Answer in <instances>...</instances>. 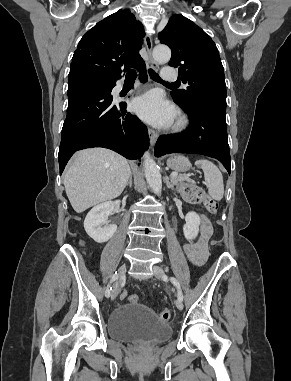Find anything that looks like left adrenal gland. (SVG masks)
I'll return each mask as SVG.
<instances>
[{
	"instance_id": "obj_1",
	"label": "left adrenal gland",
	"mask_w": 291,
	"mask_h": 381,
	"mask_svg": "<svg viewBox=\"0 0 291 381\" xmlns=\"http://www.w3.org/2000/svg\"><path fill=\"white\" fill-rule=\"evenodd\" d=\"M165 182H166V185H167V187L169 188V189H171V190H175V188H174V183L172 182V181H170V179H169V177L168 176H166L165 177Z\"/></svg>"
}]
</instances>
